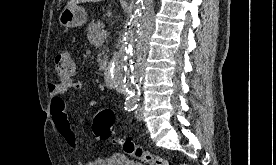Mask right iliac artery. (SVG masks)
<instances>
[{"mask_svg": "<svg viewBox=\"0 0 276 165\" xmlns=\"http://www.w3.org/2000/svg\"><path fill=\"white\" fill-rule=\"evenodd\" d=\"M138 106V100L136 99H130L125 102L124 109L128 112L133 111L137 108Z\"/></svg>", "mask_w": 276, "mask_h": 165, "instance_id": "right-iliac-artery-1", "label": "right iliac artery"}]
</instances>
